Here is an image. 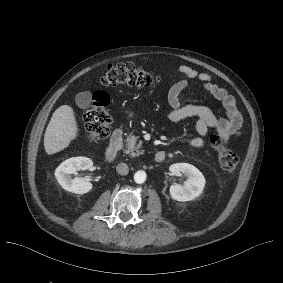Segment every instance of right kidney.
Instances as JSON below:
<instances>
[{
  "mask_svg": "<svg viewBox=\"0 0 283 283\" xmlns=\"http://www.w3.org/2000/svg\"><path fill=\"white\" fill-rule=\"evenodd\" d=\"M93 162L87 157H72L63 161L55 170V177L63 189L76 193L84 194L92 189V183L89 180L75 177L71 178V174H75L77 170H87L92 168Z\"/></svg>",
  "mask_w": 283,
  "mask_h": 283,
  "instance_id": "right-kidney-1",
  "label": "right kidney"
}]
</instances>
